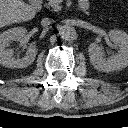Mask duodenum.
Wrapping results in <instances>:
<instances>
[{"label":"duodenum","instance_id":"410a0bca","mask_svg":"<svg viewBox=\"0 0 128 128\" xmlns=\"http://www.w3.org/2000/svg\"><path fill=\"white\" fill-rule=\"evenodd\" d=\"M31 2V5L32 7L35 9V10H39L41 8V5H42V0H30ZM82 10H86V8H82Z\"/></svg>","mask_w":128,"mask_h":128}]
</instances>
